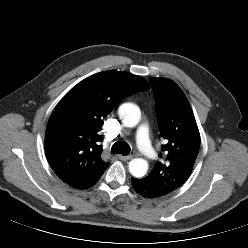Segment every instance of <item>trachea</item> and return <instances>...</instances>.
Instances as JSON below:
<instances>
[{
  "label": "trachea",
  "instance_id": "trachea-1",
  "mask_svg": "<svg viewBox=\"0 0 248 248\" xmlns=\"http://www.w3.org/2000/svg\"><path fill=\"white\" fill-rule=\"evenodd\" d=\"M111 150L113 154H122L126 156L130 153L131 148L126 142L118 141L114 143Z\"/></svg>",
  "mask_w": 248,
  "mask_h": 248
}]
</instances>
